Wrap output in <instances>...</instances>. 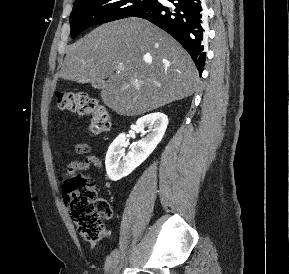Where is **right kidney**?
<instances>
[{
  "instance_id": "ca27d5eb",
  "label": "right kidney",
  "mask_w": 289,
  "mask_h": 274,
  "mask_svg": "<svg viewBox=\"0 0 289 274\" xmlns=\"http://www.w3.org/2000/svg\"><path fill=\"white\" fill-rule=\"evenodd\" d=\"M167 125L168 117L161 112L139 118L135 130L147 134L137 142V145L127 155L124 153L126 134L121 133L117 136L106 154L105 166L108 177L112 181H118L141 165L162 140Z\"/></svg>"
}]
</instances>
